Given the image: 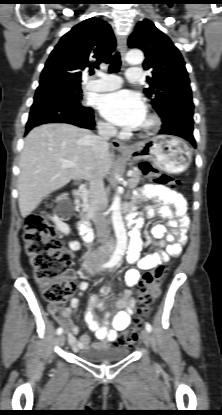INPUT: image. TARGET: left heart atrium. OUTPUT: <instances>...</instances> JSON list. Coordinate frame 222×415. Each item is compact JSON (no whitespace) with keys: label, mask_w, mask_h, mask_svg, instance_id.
<instances>
[{"label":"left heart atrium","mask_w":222,"mask_h":415,"mask_svg":"<svg viewBox=\"0 0 222 415\" xmlns=\"http://www.w3.org/2000/svg\"><path fill=\"white\" fill-rule=\"evenodd\" d=\"M99 110L111 123L128 129L139 127L146 115L141 95L130 90L106 94L100 100Z\"/></svg>","instance_id":"left-heart-atrium-1"}]
</instances>
